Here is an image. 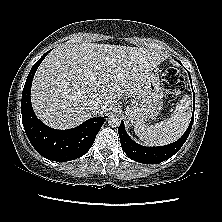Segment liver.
<instances>
[{"mask_svg":"<svg viewBox=\"0 0 222 222\" xmlns=\"http://www.w3.org/2000/svg\"><path fill=\"white\" fill-rule=\"evenodd\" d=\"M167 56L154 49L81 43L51 51L36 71L31 102L37 117L55 129L103 115L121 96H135ZM98 102L92 112L87 104Z\"/></svg>","mask_w":222,"mask_h":222,"instance_id":"1","label":"liver"}]
</instances>
